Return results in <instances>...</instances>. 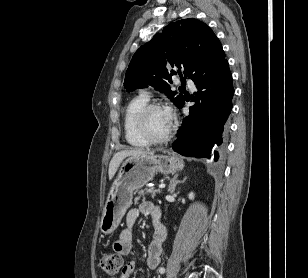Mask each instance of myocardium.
<instances>
[{
  "label": "myocardium",
  "instance_id": "obj_1",
  "mask_svg": "<svg viewBox=\"0 0 308 278\" xmlns=\"http://www.w3.org/2000/svg\"><path fill=\"white\" fill-rule=\"evenodd\" d=\"M156 109H163L159 103H147L135 116V126L139 134L151 144H160L168 141L172 135L173 127L170 126L168 132L160 137L152 135L147 126V117L149 113Z\"/></svg>",
  "mask_w": 308,
  "mask_h": 278
}]
</instances>
